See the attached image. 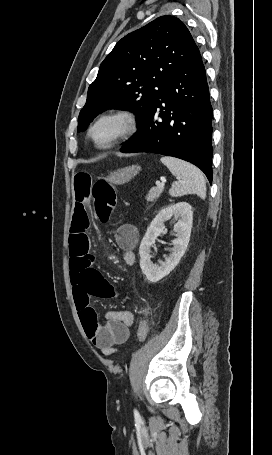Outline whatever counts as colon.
<instances>
[{"instance_id": "1", "label": "colon", "mask_w": 272, "mask_h": 455, "mask_svg": "<svg viewBox=\"0 0 272 455\" xmlns=\"http://www.w3.org/2000/svg\"><path fill=\"white\" fill-rule=\"evenodd\" d=\"M92 200L94 211L98 219L103 223L108 222L116 206L115 189L106 180L99 179L94 183ZM143 313L146 314L147 311L144 310ZM148 330L149 328L146 320L142 319L139 322L137 329V339L139 342L145 341Z\"/></svg>"}]
</instances>
